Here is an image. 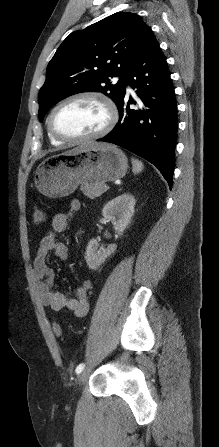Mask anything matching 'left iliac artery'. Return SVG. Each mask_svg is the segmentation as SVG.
I'll return each mask as SVG.
<instances>
[{"label":"left iliac artery","instance_id":"44dca946","mask_svg":"<svg viewBox=\"0 0 219 447\" xmlns=\"http://www.w3.org/2000/svg\"><path fill=\"white\" fill-rule=\"evenodd\" d=\"M84 367H85V365H84L83 363H82V364H79V365L76 367L75 372H76L77 374L81 373L82 370L84 369Z\"/></svg>","mask_w":219,"mask_h":447}]
</instances>
